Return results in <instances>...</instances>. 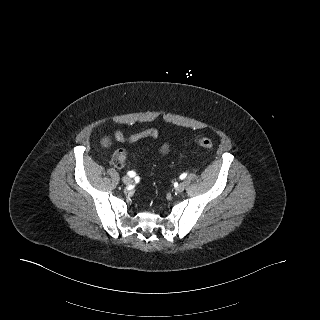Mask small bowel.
<instances>
[{
    "label": "small bowel",
    "instance_id": "1",
    "mask_svg": "<svg viewBox=\"0 0 320 320\" xmlns=\"http://www.w3.org/2000/svg\"><path fill=\"white\" fill-rule=\"evenodd\" d=\"M158 137V131L154 128L144 129L142 131L126 135L121 130H116L114 132V138L120 143H134L144 138L156 139ZM170 151V145L164 143L160 147V153L166 155Z\"/></svg>",
    "mask_w": 320,
    "mask_h": 320
}]
</instances>
